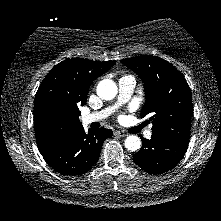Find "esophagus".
I'll list each match as a JSON object with an SVG mask.
<instances>
[{
  "instance_id": "obj_1",
  "label": "esophagus",
  "mask_w": 221,
  "mask_h": 221,
  "mask_svg": "<svg viewBox=\"0 0 221 221\" xmlns=\"http://www.w3.org/2000/svg\"><path fill=\"white\" fill-rule=\"evenodd\" d=\"M114 135L119 136V137H126L127 134L124 131H115Z\"/></svg>"
}]
</instances>
